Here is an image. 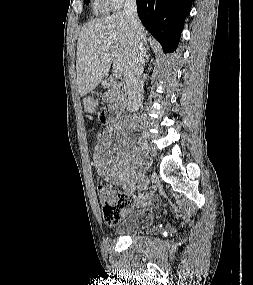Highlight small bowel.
Instances as JSON below:
<instances>
[{"instance_id": "1", "label": "small bowel", "mask_w": 253, "mask_h": 285, "mask_svg": "<svg viewBox=\"0 0 253 285\" xmlns=\"http://www.w3.org/2000/svg\"><path fill=\"white\" fill-rule=\"evenodd\" d=\"M108 113L107 109H98V113L96 114L97 122H101L102 126L106 125V117L105 114ZM154 196L151 192L143 193L136 197L135 205L138 207L145 206L151 204L153 202Z\"/></svg>"}]
</instances>
